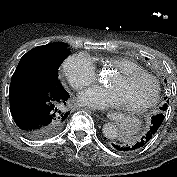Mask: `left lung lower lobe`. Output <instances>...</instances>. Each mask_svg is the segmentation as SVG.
Returning a JSON list of instances; mask_svg holds the SVG:
<instances>
[{
    "label": "left lung lower lobe",
    "mask_w": 177,
    "mask_h": 177,
    "mask_svg": "<svg viewBox=\"0 0 177 177\" xmlns=\"http://www.w3.org/2000/svg\"><path fill=\"white\" fill-rule=\"evenodd\" d=\"M151 118H152V121H151V125H150L148 132L141 139H139L136 143L122 144L119 142H114L112 143L113 148L120 152H133L145 146L157 132L158 128L163 122L164 115L162 112H159L157 115L152 116Z\"/></svg>",
    "instance_id": "obj_1"
}]
</instances>
